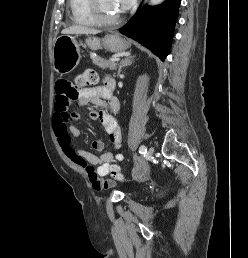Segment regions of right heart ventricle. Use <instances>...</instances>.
<instances>
[{
    "instance_id": "e07e8e85",
    "label": "right heart ventricle",
    "mask_w": 248,
    "mask_h": 258,
    "mask_svg": "<svg viewBox=\"0 0 248 258\" xmlns=\"http://www.w3.org/2000/svg\"><path fill=\"white\" fill-rule=\"evenodd\" d=\"M72 20L79 25L91 26L95 22L88 10V0H69Z\"/></svg>"
}]
</instances>
